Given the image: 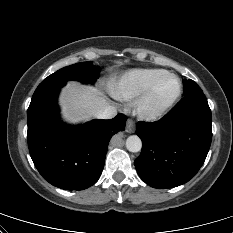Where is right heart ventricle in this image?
Segmentation results:
<instances>
[{"label":"right heart ventricle","mask_w":233,"mask_h":233,"mask_svg":"<svg viewBox=\"0 0 233 233\" xmlns=\"http://www.w3.org/2000/svg\"><path fill=\"white\" fill-rule=\"evenodd\" d=\"M163 72L165 70L155 68L129 70L110 84V93L119 100H133Z\"/></svg>","instance_id":"right-heart-ventricle-1"}]
</instances>
